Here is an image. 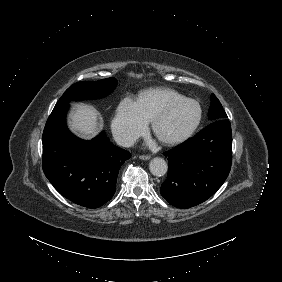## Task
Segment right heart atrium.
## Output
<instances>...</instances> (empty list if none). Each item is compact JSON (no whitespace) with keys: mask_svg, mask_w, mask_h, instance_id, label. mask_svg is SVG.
Wrapping results in <instances>:
<instances>
[{"mask_svg":"<svg viewBox=\"0 0 282 282\" xmlns=\"http://www.w3.org/2000/svg\"><path fill=\"white\" fill-rule=\"evenodd\" d=\"M148 126L149 120L139 103L129 98L119 104L111 125L115 138L124 144L134 142L148 130Z\"/></svg>","mask_w":282,"mask_h":282,"instance_id":"d8ad5b80","label":"right heart atrium"}]
</instances>
